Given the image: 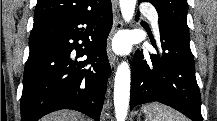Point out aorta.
<instances>
[{
  "label": "aorta",
  "instance_id": "1",
  "mask_svg": "<svg viewBox=\"0 0 217 121\" xmlns=\"http://www.w3.org/2000/svg\"><path fill=\"white\" fill-rule=\"evenodd\" d=\"M121 14L129 22L135 11L136 0H120ZM130 98V68L123 61L117 68L114 83V107L117 121H125Z\"/></svg>",
  "mask_w": 217,
  "mask_h": 121
}]
</instances>
